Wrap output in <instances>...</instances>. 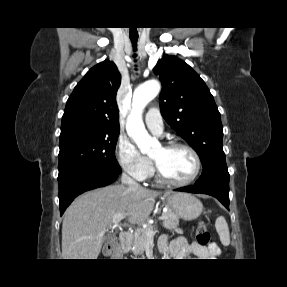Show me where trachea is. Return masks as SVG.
Listing matches in <instances>:
<instances>
[{"label":"trachea","instance_id":"obj_1","mask_svg":"<svg viewBox=\"0 0 287 287\" xmlns=\"http://www.w3.org/2000/svg\"><path fill=\"white\" fill-rule=\"evenodd\" d=\"M130 40H131V42H132V45H133V47H134V50H136L138 36H130Z\"/></svg>","mask_w":287,"mask_h":287}]
</instances>
